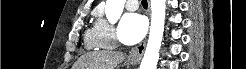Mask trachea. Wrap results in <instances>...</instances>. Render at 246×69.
I'll return each instance as SVG.
<instances>
[{
	"label": "trachea",
	"instance_id": "trachea-1",
	"mask_svg": "<svg viewBox=\"0 0 246 69\" xmlns=\"http://www.w3.org/2000/svg\"><path fill=\"white\" fill-rule=\"evenodd\" d=\"M141 4H142L144 7H147V0H142Z\"/></svg>",
	"mask_w": 246,
	"mask_h": 69
}]
</instances>
